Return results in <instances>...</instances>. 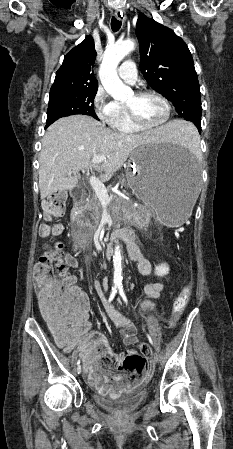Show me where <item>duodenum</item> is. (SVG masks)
Masks as SVG:
<instances>
[{"mask_svg": "<svg viewBox=\"0 0 233 449\" xmlns=\"http://www.w3.org/2000/svg\"><path fill=\"white\" fill-rule=\"evenodd\" d=\"M72 197H73V201H74V204H75V207L73 209V216H74V218H77L78 217V210H77V208H78V206H80L85 201L86 193L83 190L78 189V190H75L72 193ZM114 237H119L122 240H124L128 244L129 250L132 252L133 248L128 243V233H127L126 230H123L120 233H115ZM114 241H115V238H114V240L109 242L106 245L105 249L103 250L102 256L104 258H109V257L112 256V254H113V247H114Z\"/></svg>", "mask_w": 233, "mask_h": 449, "instance_id": "obj_1", "label": "duodenum"}]
</instances>
